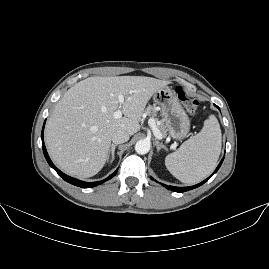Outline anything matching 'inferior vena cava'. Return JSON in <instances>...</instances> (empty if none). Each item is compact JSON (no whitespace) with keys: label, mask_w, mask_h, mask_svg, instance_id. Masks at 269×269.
Here are the masks:
<instances>
[{"label":"inferior vena cava","mask_w":269,"mask_h":269,"mask_svg":"<svg viewBox=\"0 0 269 269\" xmlns=\"http://www.w3.org/2000/svg\"><path fill=\"white\" fill-rule=\"evenodd\" d=\"M113 144H123L129 140V134L125 130L116 131L111 137Z\"/></svg>","instance_id":"602c4592"}]
</instances>
